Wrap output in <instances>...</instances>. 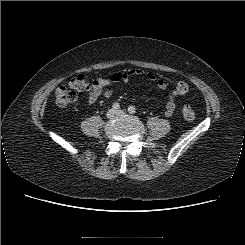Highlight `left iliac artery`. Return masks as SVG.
I'll return each mask as SVG.
<instances>
[{
	"instance_id": "1",
	"label": "left iliac artery",
	"mask_w": 245,
	"mask_h": 245,
	"mask_svg": "<svg viewBox=\"0 0 245 245\" xmlns=\"http://www.w3.org/2000/svg\"><path fill=\"white\" fill-rule=\"evenodd\" d=\"M128 112L131 113V114H135L136 113V109L134 106H129L128 107Z\"/></svg>"
}]
</instances>
